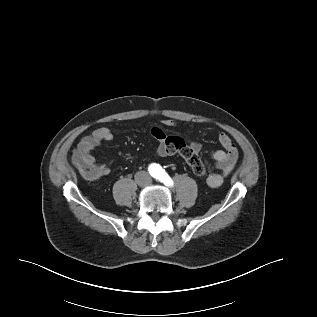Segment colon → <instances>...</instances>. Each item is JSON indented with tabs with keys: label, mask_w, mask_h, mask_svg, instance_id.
Here are the masks:
<instances>
[{
	"label": "colon",
	"mask_w": 317,
	"mask_h": 317,
	"mask_svg": "<svg viewBox=\"0 0 317 317\" xmlns=\"http://www.w3.org/2000/svg\"><path fill=\"white\" fill-rule=\"evenodd\" d=\"M177 154L181 155L186 162L188 163L192 173L197 177H205L206 176V167L202 160L200 159L199 155L195 153L190 148L179 149ZM78 168L80 172L87 178H94L95 176V169L92 164L79 161Z\"/></svg>",
	"instance_id": "5ec220e1"
}]
</instances>
